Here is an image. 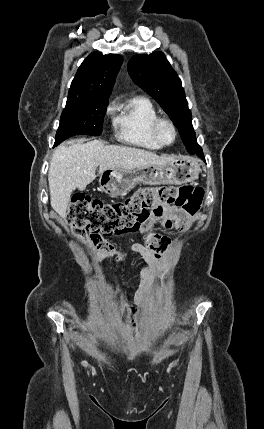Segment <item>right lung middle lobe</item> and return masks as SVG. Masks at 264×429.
Here are the masks:
<instances>
[{"label": "right lung middle lobe", "mask_w": 264, "mask_h": 429, "mask_svg": "<svg viewBox=\"0 0 264 429\" xmlns=\"http://www.w3.org/2000/svg\"><path fill=\"white\" fill-rule=\"evenodd\" d=\"M107 105L108 99L68 97L54 146L73 135L99 136Z\"/></svg>", "instance_id": "obj_1"}]
</instances>
